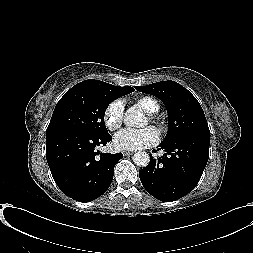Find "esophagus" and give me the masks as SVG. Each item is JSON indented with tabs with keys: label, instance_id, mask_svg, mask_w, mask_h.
Instances as JSON below:
<instances>
[{
	"label": "esophagus",
	"instance_id": "esophagus-1",
	"mask_svg": "<svg viewBox=\"0 0 253 253\" xmlns=\"http://www.w3.org/2000/svg\"><path fill=\"white\" fill-rule=\"evenodd\" d=\"M133 154H134L133 151H124V152H123V155H124V156H129V155H133Z\"/></svg>",
	"mask_w": 253,
	"mask_h": 253
}]
</instances>
